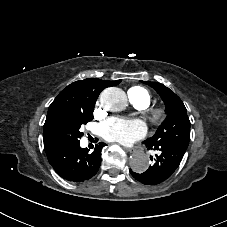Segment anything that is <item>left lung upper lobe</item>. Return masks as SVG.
Here are the masks:
<instances>
[{
  "label": "left lung upper lobe",
  "mask_w": 227,
  "mask_h": 227,
  "mask_svg": "<svg viewBox=\"0 0 227 227\" xmlns=\"http://www.w3.org/2000/svg\"><path fill=\"white\" fill-rule=\"evenodd\" d=\"M141 82L157 91L166 105L165 112L167 114L155 135L144 142H164L176 145L182 149H187L190 141V121L181 99L163 84L158 82Z\"/></svg>",
  "instance_id": "left-lung-upper-lobe-1"
}]
</instances>
